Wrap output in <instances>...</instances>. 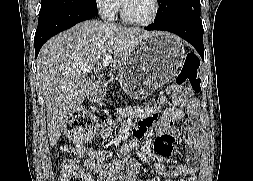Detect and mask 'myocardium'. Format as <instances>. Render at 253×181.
Instances as JSON below:
<instances>
[{"mask_svg":"<svg viewBox=\"0 0 253 181\" xmlns=\"http://www.w3.org/2000/svg\"><path fill=\"white\" fill-rule=\"evenodd\" d=\"M159 10H160L159 0H153V11L150 17L145 20H135L128 15L123 0H121V17L127 24L133 26L146 27L152 25L158 17Z\"/></svg>","mask_w":253,"mask_h":181,"instance_id":"f54148a6","label":"myocardium"}]
</instances>
